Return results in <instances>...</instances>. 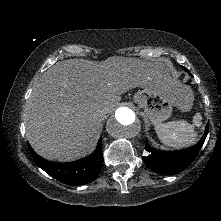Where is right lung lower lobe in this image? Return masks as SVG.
Here are the masks:
<instances>
[{"label":"right lung lower lobe","instance_id":"1","mask_svg":"<svg viewBox=\"0 0 221 221\" xmlns=\"http://www.w3.org/2000/svg\"><path fill=\"white\" fill-rule=\"evenodd\" d=\"M36 164L58 181L79 186L93 181L100 173L103 165L102 139H99L95 151L88 157L68 162H50L37 155L28 144Z\"/></svg>","mask_w":221,"mask_h":221}]
</instances>
